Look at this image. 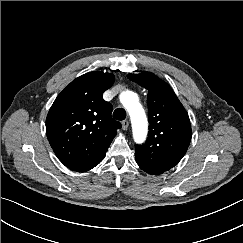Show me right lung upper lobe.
<instances>
[{
    "label": "right lung upper lobe",
    "mask_w": 243,
    "mask_h": 243,
    "mask_svg": "<svg viewBox=\"0 0 243 243\" xmlns=\"http://www.w3.org/2000/svg\"><path fill=\"white\" fill-rule=\"evenodd\" d=\"M114 75L90 72L72 81L55 99L46 118L48 141L69 169L88 171L105 157L121 124L111 117L112 105L102 95Z\"/></svg>",
    "instance_id": "right-lung-upper-lobe-1"
}]
</instances>
